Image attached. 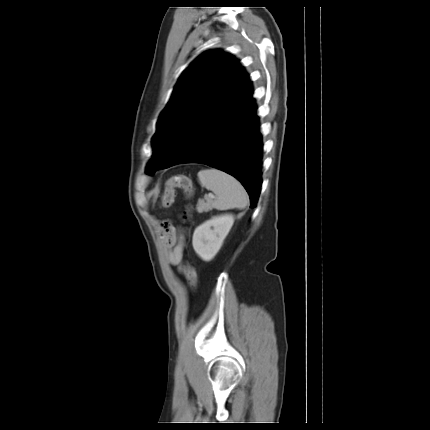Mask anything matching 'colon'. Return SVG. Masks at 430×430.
<instances>
[{
    "label": "colon",
    "mask_w": 430,
    "mask_h": 430,
    "mask_svg": "<svg viewBox=\"0 0 430 430\" xmlns=\"http://www.w3.org/2000/svg\"><path fill=\"white\" fill-rule=\"evenodd\" d=\"M181 189L187 197H190L193 194V185L189 177L183 174H177L172 176L164 190V193L161 198V205L164 208L170 207L175 201L176 189ZM187 217L190 216V208L187 209ZM184 274L187 278V281L192 289H195L198 282L197 272L194 266L190 263H187L184 266Z\"/></svg>",
    "instance_id": "5ec220e1"
}]
</instances>
